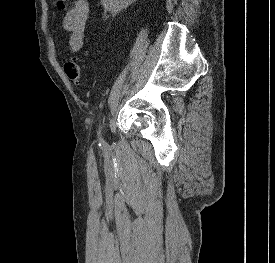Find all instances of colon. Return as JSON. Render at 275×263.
Returning a JSON list of instances; mask_svg holds the SVG:
<instances>
[{"label": "colon", "instance_id": "1", "mask_svg": "<svg viewBox=\"0 0 275 263\" xmlns=\"http://www.w3.org/2000/svg\"><path fill=\"white\" fill-rule=\"evenodd\" d=\"M68 5V0H56V6L59 10H65ZM64 72L66 76L77 85L85 82V77L82 74L81 68L76 59H67L64 63Z\"/></svg>", "mask_w": 275, "mask_h": 263}]
</instances>
